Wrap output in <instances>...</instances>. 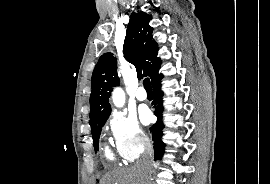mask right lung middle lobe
Returning a JSON list of instances; mask_svg holds the SVG:
<instances>
[{
    "mask_svg": "<svg viewBox=\"0 0 270 184\" xmlns=\"http://www.w3.org/2000/svg\"><path fill=\"white\" fill-rule=\"evenodd\" d=\"M106 121H101L98 123H95L93 125H91V133H92V137H93V145H94V149L97 151L99 148V138H100V134H101V129L104 126Z\"/></svg>",
    "mask_w": 270,
    "mask_h": 184,
    "instance_id": "dd1d6c3e",
    "label": "right lung middle lobe"
}]
</instances>
